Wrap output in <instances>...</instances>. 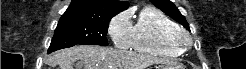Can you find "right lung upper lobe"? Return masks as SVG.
<instances>
[{
  "instance_id": "right-lung-upper-lobe-1",
  "label": "right lung upper lobe",
  "mask_w": 246,
  "mask_h": 69,
  "mask_svg": "<svg viewBox=\"0 0 246 69\" xmlns=\"http://www.w3.org/2000/svg\"><path fill=\"white\" fill-rule=\"evenodd\" d=\"M128 2L116 0H72L60 20L87 19L110 20L116 14L126 10Z\"/></svg>"
}]
</instances>
